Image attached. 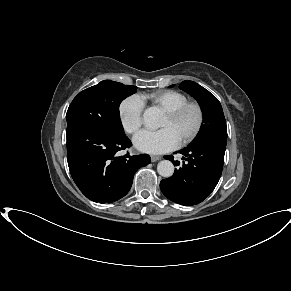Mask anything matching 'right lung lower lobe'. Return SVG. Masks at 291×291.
I'll return each mask as SVG.
<instances>
[{
  "mask_svg": "<svg viewBox=\"0 0 291 291\" xmlns=\"http://www.w3.org/2000/svg\"><path fill=\"white\" fill-rule=\"evenodd\" d=\"M67 159L71 176L90 200L111 203L131 188L135 172L151 162L149 155L117 156L129 148L122 134H100L87 128L67 127Z\"/></svg>",
  "mask_w": 291,
  "mask_h": 291,
  "instance_id": "1",
  "label": "right lung lower lobe"
}]
</instances>
